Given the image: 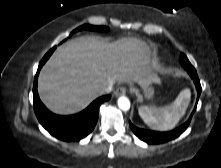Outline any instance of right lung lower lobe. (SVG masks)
<instances>
[{"label": "right lung lower lobe", "instance_id": "98d812e1", "mask_svg": "<svg viewBox=\"0 0 221 168\" xmlns=\"http://www.w3.org/2000/svg\"><path fill=\"white\" fill-rule=\"evenodd\" d=\"M55 48L56 47L50 49L39 64L33 85L34 111L40 124L51 135L67 142L79 141L86 137L94 129L98 120L100 105L109 100L111 96L105 95L99 97L85 110L70 116L56 115L47 110L38 96L37 79L41 67L53 53Z\"/></svg>", "mask_w": 221, "mask_h": 168}]
</instances>
